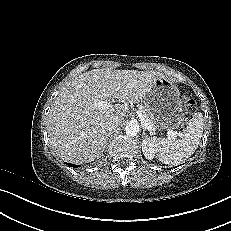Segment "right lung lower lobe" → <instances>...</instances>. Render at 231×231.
<instances>
[{"label": "right lung lower lobe", "instance_id": "1", "mask_svg": "<svg viewBox=\"0 0 231 231\" xmlns=\"http://www.w3.org/2000/svg\"><path fill=\"white\" fill-rule=\"evenodd\" d=\"M68 165L71 166V167H77V165H74V164H69L68 163Z\"/></svg>", "mask_w": 231, "mask_h": 231}]
</instances>
